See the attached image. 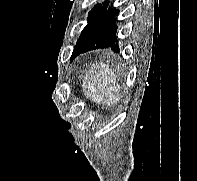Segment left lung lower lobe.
I'll use <instances>...</instances> for the list:
<instances>
[{
  "label": "left lung lower lobe",
  "mask_w": 197,
  "mask_h": 181,
  "mask_svg": "<svg viewBox=\"0 0 197 181\" xmlns=\"http://www.w3.org/2000/svg\"><path fill=\"white\" fill-rule=\"evenodd\" d=\"M118 14L119 10L114 7H109L107 9L106 13L98 22L87 42L78 51L77 56L81 53L94 49L111 48L113 51H119L115 18Z\"/></svg>",
  "instance_id": "0a47b994"
}]
</instances>
